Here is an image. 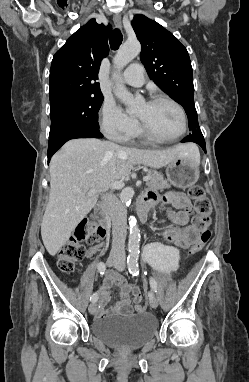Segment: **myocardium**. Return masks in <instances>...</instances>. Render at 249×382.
<instances>
[{
  "instance_id": "1",
  "label": "myocardium",
  "mask_w": 249,
  "mask_h": 382,
  "mask_svg": "<svg viewBox=\"0 0 249 382\" xmlns=\"http://www.w3.org/2000/svg\"><path fill=\"white\" fill-rule=\"evenodd\" d=\"M158 102H168L177 109L182 121L181 132L172 138L160 137L157 134H155L142 120L139 119V127H140V131L142 135L152 141L160 142V143H172V142L178 141L185 135L188 128V121H187V116H186L184 108L176 100L166 95H156L152 97L147 103L155 104Z\"/></svg>"
}]
</instances>
